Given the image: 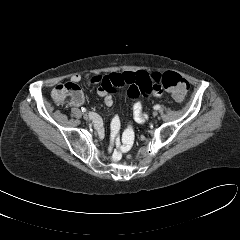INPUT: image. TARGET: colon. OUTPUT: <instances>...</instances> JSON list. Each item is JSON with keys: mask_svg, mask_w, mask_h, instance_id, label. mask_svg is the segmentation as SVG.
<instances>
[{"mask_svg": "<svg viewBox=\"0 0 240 240\" xmlns=\"http://www.w3.org/2000/svg\"><path fill=\"white\" fill-rule=\"evenodd\" d=\"M155 82L171 93L176 100H182L189 90V83L175 72L155 73L153 76ZM82 90L78 84L68 82L57 85L52 91V97L57 104H65L79 99L82 96ZM132 145V135L125 134L123 138L124 150H129Z\"/></svg>", "mask_w": 240, "mask_h": 240, "instance_id": "colon-1", "label": "colon"}]
</instances>
